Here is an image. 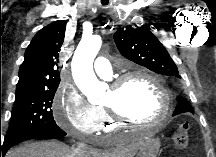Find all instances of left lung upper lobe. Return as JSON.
<instances>
[{"label":"left lung upper lobe","instance_id":"1","mask_svg":"<svg viewBox=\"0 0 216 157\" xmlns=\"http://www.w3.org/2000/svg\"><path fill=\"white\" fill-rule=\"evenodd\" d=\"M113 37L119 52L125 58L155 73L180 78L176 64L149 28L142 26L119 29ZM177 101V105L189 103L180 97H177ZM187 107L193 112L190 103Z\"/></svg>","mask_w":216,"mask_h":157}]
</instances>
